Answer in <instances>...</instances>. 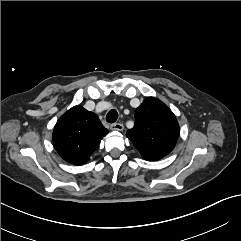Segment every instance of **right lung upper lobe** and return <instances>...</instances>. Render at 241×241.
Instances as JSON below:
<instances>
[{
	"label": "right lung upper lobe",
	"mask_w": 241,
	"mask_h": 241,
	"mask_svg": "<svg viewBox=\"0 0 241 241\" xmlns=\"http://www.w3.org/2000/svg\"><path fill=\"white\" fill-rule=\"evenodd\" d=\"M107 133L96 114L74 106L57 121L52 139L59 155L79 166L89 160Z\"/></svg>",
	"instance_id": "right-lung-upper-lobe-1"
}]
</instances>
